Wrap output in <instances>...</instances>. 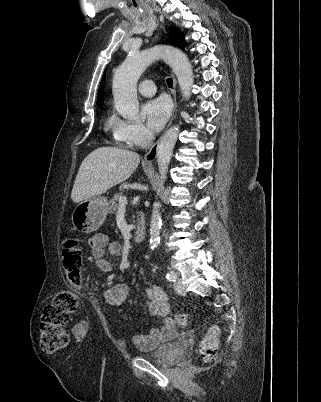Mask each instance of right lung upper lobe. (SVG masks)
Returning <instances> with one entry per match:
<instances>
[{
    "instance_id": "cb5924a9",
    "label": "right lung upper lobe",
    "mask_w": 321,
    "mask_h": 402,
    "mask_svg": "<svg viewBox=\"0 0 321 402\" xmlns=\"http://www.w3.org/2000/svg\"><path fill=\"white\" fill-rule=\"evenodd\" d=\"M104 84H105V76L103 77L101 84H100V88H99V92H98V99H97V105L102 106L103 107V102H104V92H103V88H104Z\"/></svg>"
}]
</instances>
